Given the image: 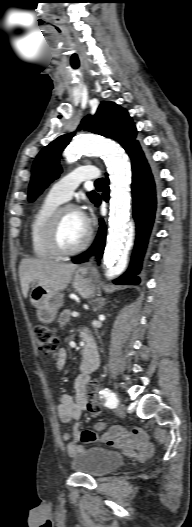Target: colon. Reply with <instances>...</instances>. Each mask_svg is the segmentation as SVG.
<instances>
[{"label":"colon","instance_id":"1","mask_svg":"<svg viewBox=\"0 0 192 527\" xmlns=\"http://www.w3.org/2000/svg\"><path fill=\"white\" fill-rule=\"evenodd\" d=\"M33 333L37 341L39 350L45 355L56 356V352L59 346V340L55 332L46 325L37 323L33 327ZM97 389L98 384L95 382L87 392L89 410L93 414L100 413V403L97 394Z\"/></svg>","mask_w":192,"mask_h":527}]
</instances>
